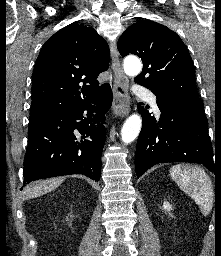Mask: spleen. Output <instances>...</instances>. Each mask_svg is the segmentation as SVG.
<instances>
[{"label":"spleen","mask_w":221,"mask_h":256,"mask_svg":"<svg viewBox=\"0 0 221 256\" xmlns=\"http://www.w3.org/2000/svg\"><path fill=\"white\" fill-rule=\"evenodd\" d=\"M170 175L177 185L199 206L203 215L213 207L214 190L211 179L197 166L178 164L170 169Z\"/></svg>","instance_id":"1"}]
</instances>
